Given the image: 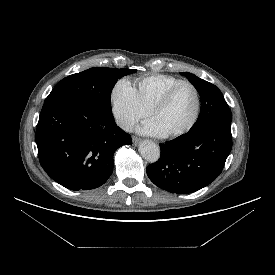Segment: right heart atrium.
<instances>
[{
    "label": "right heart atrium",
    "mask_w": 275,
    "mask_h": 275,
    "mask_svg": "<svg viewBox=\"0 0 275 275\" xmlns=\"http://www.w3.org/2000/svg\"><path fill=\"white\" fill-rule=\"evenodd\" d=\"M112 111L118 125L130 130L150 111L141 102L136 88L128 80L118 81L111 92Z\"/></svg>",
    "instance_id": "right-heart-atrium-1"
}]
</instances>
